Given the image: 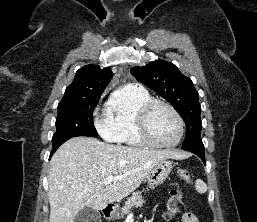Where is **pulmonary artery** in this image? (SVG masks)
<instances>
[{
    "instance_id": "e3ab8cb5",
    "label": "pulmonary artery",
    "mask_w": 257,
    "mask_h": 222,
    "mask_svg": "<svg viewBox=\"0 0 257 222\" xmlns=\"http://www.w3.org/2000/svg\"><path fill=\"white\" fill-rule=\"evenodd\" d=\"M131 86H133V87H138V85H137V84H133V85H131Z\"/></svg>"
}]
</instances>
